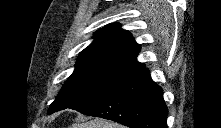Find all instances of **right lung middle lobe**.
I'll return each instance as SVG.
<instances>
[{"label":"right lung middle lobe","mask_w":221,"mask_h":128,"mask_svg":"<svg viewBox=\"0 0 221 128\" xmlns=\"http://www.w3.org/2000/svg\"><path fill=\"white\" fill-rule=\"evenodd\" d=\"M125 76L108 74L99 70H75L64 83L59 95L48 109V114L89 102L105 94Z\"/></svg>","instance_id":"obj_1"}]
</instances>
